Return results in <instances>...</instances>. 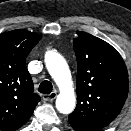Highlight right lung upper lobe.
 Masks as SVG:
<instances>
[{
  "label": "right lung upper lobe",
  "mask_w": 131,
  "mask_h": 131,
  "mask_svg": "<svg viewBox=\"0 0 131 131\" xmlns=\"http://www.w3.org/2000/svg\"><path fill=\"white\" fill-rule=\"evenodd\" d=\"M40 39L41 35L24 29L0 35V130L20 128L40 101L25 65Z\"/></svg>",
  "instance_id": "right-lung-upper-lobe-1"
}]
</instances>
